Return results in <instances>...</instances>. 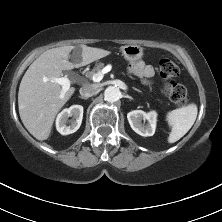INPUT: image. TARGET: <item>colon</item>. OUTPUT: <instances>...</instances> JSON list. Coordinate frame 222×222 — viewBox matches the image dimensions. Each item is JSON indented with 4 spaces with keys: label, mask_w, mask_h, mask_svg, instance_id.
Wrapping results in <instances>:
<instances>
[{
    "label": "colon",
    "mask_w": 222,
    "mask_h": 222,
    "mask_svg": "<svg viewBox=\"0 0 222 222\" xmlns=\"http://www.w3.org/2000/svg\"><path fill=\"white\" fill-rule=\"evenodd\" d=\"M159 72L164 81L163 92L165 95L175 104H187V90L176 81V77L179 75L178 65L170 58H162L159 61Z\"/></svg>",
    "instance_id": "5ec220e1"
}]
</instances>
